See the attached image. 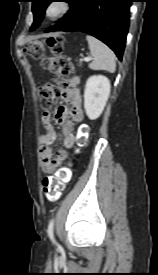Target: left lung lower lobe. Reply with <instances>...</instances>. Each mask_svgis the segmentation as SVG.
Returning <instances> with one entry per match:
<instances>
[{
    "label": "left lung lower lobe",
    "instance_id": "obj_1",
    "mask_svg": "<svg viewBox=\"0 0 158 275\" xmlns=\"http://www.w3.org/2000/svg\"><path fill=\"white\" fill-rule=\"evenodd\" d=\"M70 11L46 30L81 31L108 45L121 60L129 28L133 0H68Z\"/></svg>",
    "mask_w": 158,
    "mask_h": 275
}]
</instances>
